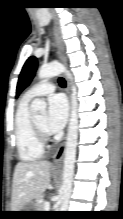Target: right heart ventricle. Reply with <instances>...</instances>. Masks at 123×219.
Segmentation results:
<instances>
[{
    "label": "right heart ventricle",
    "instance_id": "e07e8e85",
    "mask_svg": "<svg viewBox=\"0 0 123 219\" xmlns=\"http://www.w3.org/2000/svg\"><path fill=\"white\" fill-rule=\"evenodd\" d=\"M29 101L22 99L15 116V141L19 158L25 162L39 160L44 153L40 140L28 110Z\"/></svg>",
    "mask_w": 123,
    "mask_h": 219
}]
</instances>
